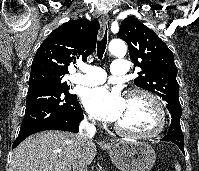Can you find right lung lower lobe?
I'll use <instances>...</instances> for the list:
<instances>
[{"label":"right lung lower lobe","instance_id":"right-lung-lower-lobe-1","mask_svg":"<svg viewBox=\"0 0 199 171\" xmlns=\"http://www.w3.org/2000/svg\"><path fill=\"white\" fill-rule=\"evenodd\" d=\"M82 119L76 95L65 93L49 82L29 84L25 116L12 148L26 137L44 130L78 132Z\"/></svg>","mask_w":199,"mask_h":171}]
</instances>
